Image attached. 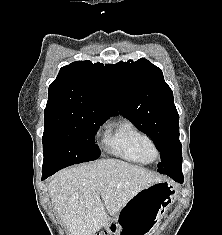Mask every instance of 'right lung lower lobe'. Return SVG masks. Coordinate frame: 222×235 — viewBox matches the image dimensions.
Returning a JSON list of instances; mask_svg holds the SVG:
<instances>
[{"label":"right lung lower lobe","mask_w":222,"mask_h":235,"mask_svg":"<svg viewBox=\"0 0 222 235\" xmlns=\"http://www.w3.org/2000/svg\"><path fill=\"white\" fill-rule=\"evenodd\" d=\"M56 171L44 172L42 173V180L46 179L47 177L53 175Z\"/></svg>","instance_id":"obj_1"}]
</instances>
